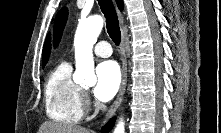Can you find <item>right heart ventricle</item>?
<instances>
[{
  "label": "right heart ventricle",
  "mask_w": 221,
  "mask_h": 133,
  "mask_svg": "<svg viewBox=\"0 0 221 133\" xmlns=\"http://www.w3.org/2000/svg\"><path fill=\"white\" fill-rule=\"evenodd\" d=\"M71 65L62 62L49 74L44 90L47 116L56 123L72 125L83 117V91L73 81Z\"/></svg>",
  "instance_id": "right-heart-ventricle-1"
}]
</instances>
